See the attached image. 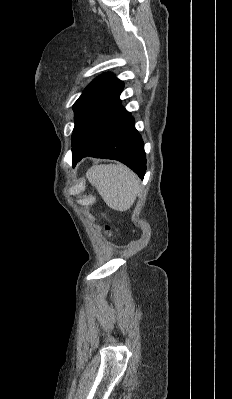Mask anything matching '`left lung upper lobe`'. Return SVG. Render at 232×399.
Wrapping results in <instances>:
<instances>
[{"instance_id":"1","label":"left lung upper lobe","mask_w":232,"mask_h":399,"mask_svg":"<svg viewBox=\"0 0 232 399\" xmlns=\"http://www.w3.org/2000/svg\"><path fill=\"white\" fill-rule=\"evenodd\" d=\"M124 83L111 73L98 76L73 105L72 162L103 143L129 115L119 99Z\"/></svg>"}]
</instances>
